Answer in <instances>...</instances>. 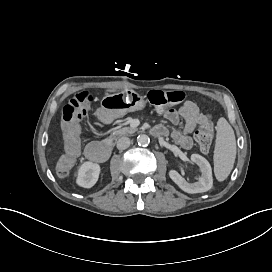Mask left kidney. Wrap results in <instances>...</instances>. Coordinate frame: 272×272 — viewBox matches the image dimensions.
Instances as JSON below:
<instances>
[{
    "label": "left kidney",
    "instance_id": "5707ae66",
    "mask_svg": "<svg viewBox=\"0 0 272 272\" xmlns=\"http://www.w3.org/2000/svg\"><path fill=\"white\" fill-rule=\"evenodd\" d=\"M191 161L196 163L201 171V176L195 183H188L177 171L169 172L170 178L187 193H202L210 190L213 186L212 169L209 162L199 154H192Z\"/></svg>",
    "mask_w": 272,
    "mask_h": 272
}]
</instances>
